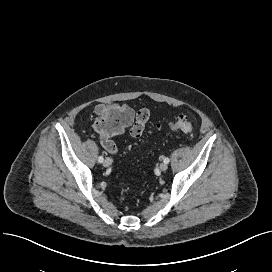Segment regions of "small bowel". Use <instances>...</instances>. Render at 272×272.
<instances>
[{
	"mask_svg": "<svg viewBox=\"0 0 272 272\" xmlns=\"http://www.w3.org/2000/svg\"><path fill=\"white\" fill-rule=\"evenodd\" d=\"M106 106L104 105H99L97 107V110L98 112H101ZM119 108L127 111L130 113L131 115V119H130V122H129V125L134 121V119H136V117L139 115V114H146L147 116V120H148V111L146 109H143V110H140L138 111V113L136 114V116L134 115V112L132 111V109L130 107H128L127 105L123 104V105H120ZM101 143H102V146L103 148L110 154H117L118 153V147L117 145L115 144V142L113 140H111L110 138L105 137V138H102L101 139Z\"/></svg>",
	"mask_w": 272,
	"mask_h": 272,
	"instance_id": "c3829d8e",
	"label": "small bowel"
}]
</instances>
